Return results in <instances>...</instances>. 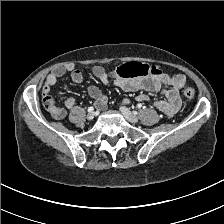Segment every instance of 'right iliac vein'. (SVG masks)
<instances>
[{
    "instance_id": "right-iliac-vein-1",
    "label": "right iliac vein",
    "mask_w": 224,
    "mask_h": 224,
    "mask_svg": "<svg viewBox=\"0 0 224 224\" xmlns=\"http://www.w3.org/2000/svg\"><path fill=\"white\" fill-rule=\"evenodd\" d=\"M94 116H95V114H94L93 112H91V113H89V114L87 115V119H88V120H93V119H94Z\"/></svg>"
}]
</instances>
